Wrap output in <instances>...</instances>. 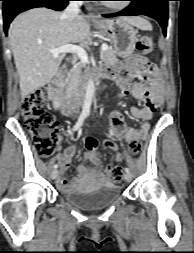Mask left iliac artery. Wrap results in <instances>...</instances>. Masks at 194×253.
<instances>
[{"label":"left iliac artery","mask_w":194,"mask_h":253,"mask_svg":"<svg viewBox=\"0 0 194 253\" xmlns=\"http://www.w3.org/2000/svg\"><path fill=\"white\" fill-rule=\"evenodd\" d=\"M126 172H130V169L128 167L125 168Z\"/></svg>","instance_id":"1"}]
</instances>
